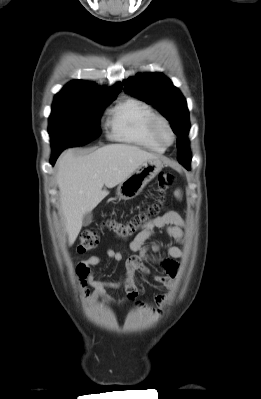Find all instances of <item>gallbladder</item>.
I'll use <instances>...</instances> for the list:
<instances>
[{"instance_id":"bac80fb5","label":"gallbladder","mask_w":261,"mask_h":399,"mask_svg":"<svg viewBox=\"0 0 261 399\" xmlns=\"http://www.w3.org/2000/svg\"><path fill=\"white\" fill-rule=\"evenodd\" d=\"M92 222V213L88 212L84 214L83 219H82V224L83 226H88Z\"/></svg>"}]
</instances>
